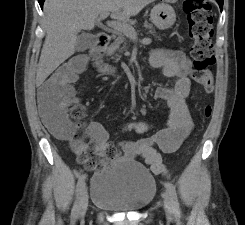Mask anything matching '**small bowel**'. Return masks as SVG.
<instances>
[{
    "label": "small bowel",
    "instance_id": "obj_1",
    "mask_svg": "<svg viewBox=\"0 0 245 225\" xmlns=\"http://www.w3.org/2000/svg\"><path fill=\"white\" fill-rule=\"evenodd\" d=\"M147 64L153 68H162L164 76L176 79L174 85L160 86L155 91V98L166 102L169 115L164 126L154 134L126 141L123 149L127 159H142L154 174H159L155 167V159L161 162L158 150L162 153L176 152L193 130V122L189 117L186 102L192 84L191 61L182 50L158 48L149 53ZM70 98L71 96H68L66 99L57 101L43 89L37 93L38 103L42 107V119L47 126L56 124L70 103ZM86 127L90 138L95 143L97 159L104 161L107 158L109 132L98 121H91ZM121 130L144 134L151 131L152 126L146 120H128L121 126ZM86 146L85 143L80 142L77 152L81 153Z\"/></svg>",
    "mask_w": 245,
    "mask_h": 225
}]
</instances>
